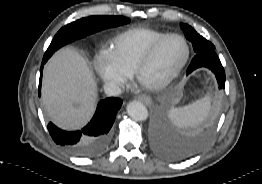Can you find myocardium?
Masks as SVG:
<instances>
[{
	"label": "myocardium",
	"mask_w": 262,
	"mask_h": 184,
	"mask_svg": "<svg viewBox=\"0 0 262 184\" xmlns=\"http://www.w3.org/2000/svg\"><path fill=\"white\" fill-rule=\"evenodd\" d=\"M179 38L183 41L185 47H186V54L183 59V61L180 63V65L171 72L168 76L165 78L159 80V81H148L145 80L143 77V74L145 70L151 65L153 62L158 50L160 47L170 38ZM191 49L189 46V43L187 39L177 33H168L164 36H162L159 40H157L144 54V56L141 58V60L136 65L134 71H133V77L137 84L141 86L142 88L148 89V90H161L165 87H167L169 84H171L182 72L186 64L188 63V60L190 58Z\"/></svg>",
	"instance_id": "obj_1"
}]
</instances>
